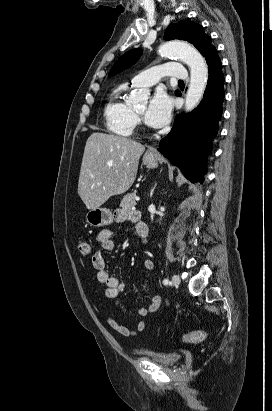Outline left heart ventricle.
<instances>
[{"label":"left heart ventricle","instance_id":"b2bd125f","mask_svg":"<svg viewBox=\"0 0 272 411\" xmlns=\"http://www.w3.org/2000/svg\"><path fill=\"white\" fill-rule=\"evenodd\" d=\"M135 111H136L137 114L142 115L145 111V106L137 108Z\"/></svg>","mask_w":272,"mask_h":411}]
</instances>
